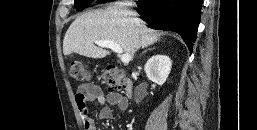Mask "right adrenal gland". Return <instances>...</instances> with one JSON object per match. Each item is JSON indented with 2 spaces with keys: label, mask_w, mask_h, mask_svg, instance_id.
Returning a JSON list of instances; mask_svg holds the SVG:
<instances>
[{
  "label": "right adrenal gland",
  "mask_w": 257,
  "mask_h": 130,
  "mask_svg": "<svg viewBox=\"0 0 257 130\" xmlns=\"http://www.w3.org/2000/svg\"><path fill=\"white\" fill-rule=\"evenodd\" d=\"M155 48L153 47V48H149V49H147V50H144L143 52H142V54H145V53H147L148 51H151V50H154Z\"/></svg>",
  "instance_id": "1"
}]
</instances>
